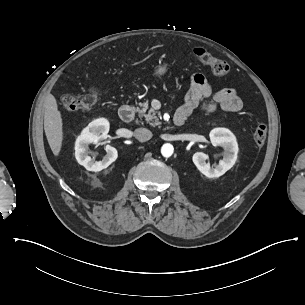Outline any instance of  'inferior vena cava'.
I'll return each instance as SVG.
<instances>
[{"instance_id":"obj_1","label":"inferior vena cava","mask_w":305,"mask_h":305,"mask_svg":"<svg viewBox=\"0 0 305 305\" xmlns=\"http://www.w3.org/2000/svg\"><path fill=\"white\" fill-rule=\"evenodd\" d=\"M135 138L140 142H145L151 139L152 132L146 128H138L134 132Z\"/></svg>"}]
</instances>
